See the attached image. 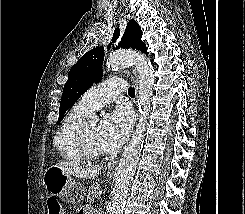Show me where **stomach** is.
I'll return each mask as SVG.
<instances>
[{
  "mask_svg": "<svg viewBox=\"0 0 245 214\" xmlns=\"http://www.w3.org/2000/svg\"><path fill=\"white\" fill-rule=\"evenodd\" d=\"M43 184L52 196L62 197L70 203H79L84 199L86 188L73 181L69 173L62 169L51 166L43 175Z\"/></svg>",
  "mask_w": 245,
  "mask_h": 214,
  "instance_id": "0dacf381",
  "label": "stomach"
}]
</instances>
